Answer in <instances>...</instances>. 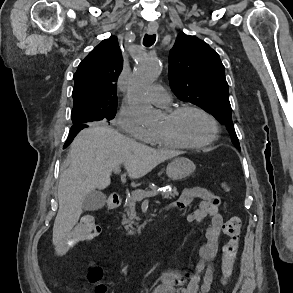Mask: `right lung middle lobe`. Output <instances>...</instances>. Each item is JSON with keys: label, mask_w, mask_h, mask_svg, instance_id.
<instances>
[{"label": "right lung middle lobe", "mask_w": 293, "mask_h": 293, "mask_svg": "<svg viewBox=\"0 0 293 293\" xmlns=\"http://www.w3.org/2000/svg\"><path fill=\"white\" fill-rule=\"evenodd\" d=\"M116 109L89 110L73 107L71 117L74 124H88L92 121H109L115 117Z\"/></svg>", "instance_id": "dd1d6c3e"}]
</instances>
